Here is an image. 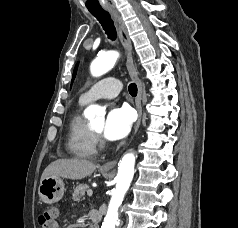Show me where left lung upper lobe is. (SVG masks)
<instances>
[{
    "label": "left lung upper lobe",
    "mask_w": 238,
    "mask_h": 228,
    "mask_svg": "<svg viewBox=\"0 0 238 228\" xmlns=\"http://www.w3.org/2000/svg\"><path fill=\"white\" fill-rule=\"evenodd\" d=\"M76 70H77V66H76L75 69H74V73H73V77H72V82H73V80H74V78H75Z\"/></svg>",
    "instance_id": "1"
}]
</instances>
